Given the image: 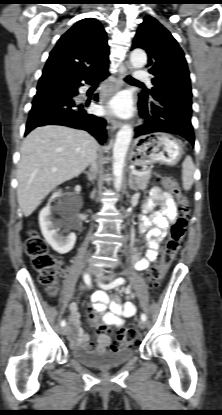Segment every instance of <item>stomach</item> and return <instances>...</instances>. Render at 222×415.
<instances>
[{"label": "stomach", "instance_id": "1", "mask_svg": "<svg viewBox=\"0 0 222 415\" xmlns=\"http://www.w3.org/2000/svg\"><path fill=\"white\" fill-rule=\"evenodd\" d=\"M184 154L181 142L172 135L156 132L138 137L130 151V162L146 166L157 162L175 165Z\"/></svg>", "mask_w": 222, "mask_h": 415}]
</instances>
